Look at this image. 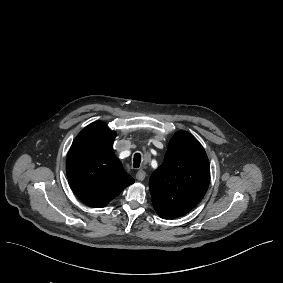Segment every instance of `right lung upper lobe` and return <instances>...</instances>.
Listing matches in <instances>:
<instances>
[{
	"label": "right lung upper lobe",
	"mask_w": 283,
	"mask_h": 283,
	"mask_svg": "<svg viewBox=\"0 0 283 283\" xmlns=\"http://www.w3.org/2000/svg\"><path fill=\"white\" fill-rule=\"evenodd\" d=\"M115 136L103 122L96 121L77 135L69 150L66 163L69 184L89 206H106L134 183L114 154Z\"/></svg>",
	"instance_id": "right-lung-upper-lobe-1"
}]
</instances>
